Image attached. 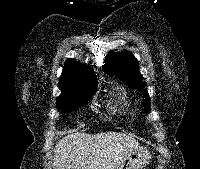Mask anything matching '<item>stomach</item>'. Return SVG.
I'll list each match as a JSON object with an SVG mask.
<instances>
[{
  "label": "stomach",
  "instance_id": "obj_1",
  "mask_svg": "<svg viewBox=\"0 0 200 169\" xmlns=\"http://www.w3.org/2000/svg\"><path fill=\"white\" fill-rule=\"evenodd\" d=\"M150 153L140 147L130 151L117 169H143L150 161Z\"/></svg>",
  "mask_w": 200,
  "mask_h": 169
}]
</instances>
